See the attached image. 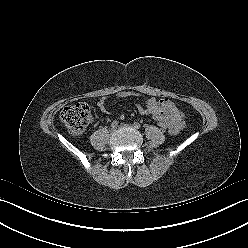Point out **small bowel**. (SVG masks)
Returning a JSON list of instances; mask_svg holds the SVG:
<instances>
[{"instance_id": "obj_1", "label": "small bowel", "mask_w": 248, "mask_h": 248, "mask_svg": "<svg viewBox=\"0 0 248 248\" xmlns=\"http://www.w3.org/2000/svg\"><path fill=\"white\" fill-rule=\"evenodd\" d=\"M118 99L130 97H139L143 100L145 106L137 105L138 112L142 115H151L153 119L165 120L169 125V131L172 134L178 133L184 126L183 113L178 109L177 105L168 99L157 100L155 98L143 97L141 94L130 90L120 91L116 94ZM107 99L102 97L98 101V106L102 112H106Z\"/></svg>"}]
</instances>
